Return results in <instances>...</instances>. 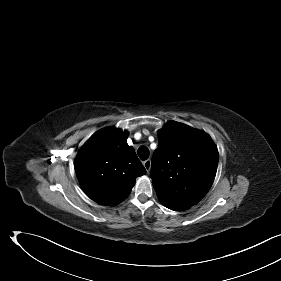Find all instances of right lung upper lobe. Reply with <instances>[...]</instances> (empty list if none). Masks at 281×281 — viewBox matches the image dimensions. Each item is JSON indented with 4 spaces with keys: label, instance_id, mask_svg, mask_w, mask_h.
Returning a JSON list of instances; mask_svg holds the SVG:
<instances>
[{
    "label": "right lung upper lobe",
    "instance_id": "cb5924a9",
    "mask_svg": "<svg viewBox=\"0 0 281 281\" xmlns=\"http://www.w3.org/2000/svg\"><path fill=\"white\" fill-rule=\"evenodd\" d=\"M127 137L128 132L104 128L83 145L75 159L84 192L99 204H119L131 192L135 179L146 173Z\"/></svg>",
    "mask_w": 281,
    "mask_h": 281
}]
</instances>
